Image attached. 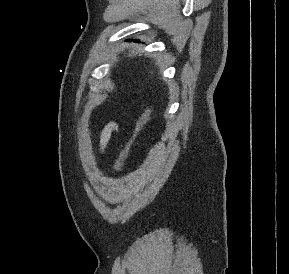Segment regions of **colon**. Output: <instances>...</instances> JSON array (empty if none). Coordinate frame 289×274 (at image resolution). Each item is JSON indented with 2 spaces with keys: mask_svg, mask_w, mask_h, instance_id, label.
<instances>
[{
  "mask_svg": "<svg viewBox=\"0 0 289 274\" xmlns=\"http://www.w3.org/2000/svg\"><path fill=\"white\" fill-rule=\"evenodd\" d=\"M151 114H152V106L147 105L136 122V125H135V128H134V131H133L131 138L128 140V142L125 144L124 148L120 151V153L118 154V156L114 160V164H113V171L114 172H119L122 169L126 158L128 157V155H129L133 145L135 144L139 134L141 133V131L144 129L145 125L149 121Z\"/></svg>",
  "mask_w": 289,
  "mask_h": 274,
  "instance_id": "1",
  "label": "colon"
}]
</instances>
